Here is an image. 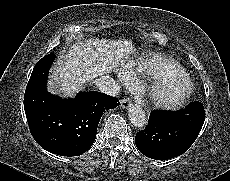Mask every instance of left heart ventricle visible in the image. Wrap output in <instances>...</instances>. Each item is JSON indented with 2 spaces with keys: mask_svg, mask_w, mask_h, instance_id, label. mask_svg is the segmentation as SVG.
Returning a JSON list of instances; mask_svg holds the SVG:
<instances>
[{
  "mask_svg": "<svg viewBox=\"0 0 230 181\" xmlns=\"http://www.w3.org/2000/svg\"><path fill=\"white\" fill-rule=\"evenodd\" d=\"M181 88H182V85H181V84H177V85L173 88L172 92H173V93H176V92H178Z\"/></svg>",
  "mask_w": 230,
  "mask_h": 181,
  "instance_id": "left-heart-ventricle-1",
  "label": "left heart ventricle"
}]
</instances>
